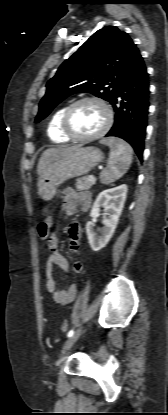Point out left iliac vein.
I'll return each instance as SVG.
<instances>
[{
	"instance_id": "4c4485c4",
	"label": "left iliac vein",
	"mask_w": 168,
	"mask_h": 415,
	"mask_svg": "<svg viewBox=\"0 0 168 415\" xmlns=\"http://www.w3.org/2000/svg\"><path fill=\"white\" fill-rule=\"evenodd\" d=\"M82 333V329H78L77 331L74 332V334L69 337V339L65 342L63 349H62V354L66 353V351H68L73 344L78 340V338L80 337Z\"/></svg>"
}]
</instances>
